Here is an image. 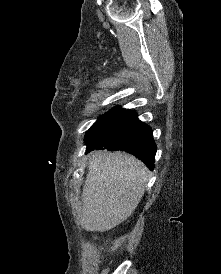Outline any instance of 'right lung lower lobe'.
<instances>
[{
	"instance_id": "98d812e1",
	"label": "right lung lower lobe",
	"mask_w": 221,
	"mask_h": 274,
	"mask_svg": "<svg viewBox=\"0 0 221 274\" xmlns=\"http://www.w3.org/2000/svg\"><path fill=\"white\" fill-rule=\"evenodd\" d=\"M86 145L87 152L100 149L128 152L153 170L156 145L152 130L137 118L133 110L124 111L117 120Z\"/></svg>"
}]
</instances>
